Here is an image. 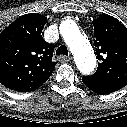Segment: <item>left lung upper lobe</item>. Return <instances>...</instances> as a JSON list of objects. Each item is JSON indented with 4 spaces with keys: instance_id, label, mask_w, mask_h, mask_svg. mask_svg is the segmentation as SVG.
<instances>
[{
    "instance_id": "left-lung-upper-lobe-1",
    "label": "left lung upper lobe",
    "mask_w": 127,
    "mask_h": 127,
    "mask_svg": "<svg viewBox=\"0 0 127 127\" xmlns=\"http://www.w3.org/2000/svg\"><path fill=\"white\" fill-rule=\"evenodd\" d=\"M94 45L100 64L88 77L127 85V28L114 17L102 14L93 20Z\"/></svg>"
}]
</instances>
